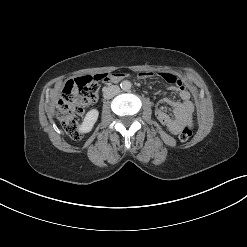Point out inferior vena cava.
<instances>
[{"instance_id":"1","label":"inferior vena cava","mask_w":247,"mask_h":247,"mask_svg":"<svg viewBox=\"0 0 247 247\" xmlns=\"http://www.w3.org/2000/svg\"><path fill=\"white\" fill-rule=\"evenodd\" d=\"M120 92V88L117 85H111L103 89V97L105 99H110L116 96Z\"/></svg>"}]
</instances>
